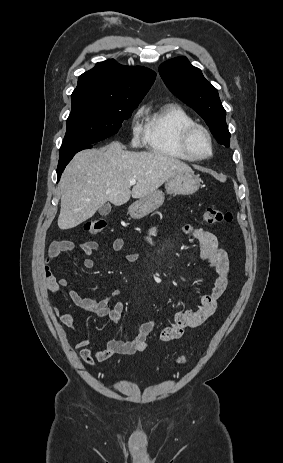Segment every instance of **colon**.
Listing matches in <instances>:
<instances>
[{"instance_id":"obj_1","label":"colon","mask_w":283,"mask_h":463,"mask_svg":"<svg viewBox=\"0 0 283 463\" xmlns=\"http://www.w3.org/2000/svg\"><path fill=\"white\" fill-rule=\"evenodd\" d=\"M203 219L208 224H220L230 222L231 214L217 208H206L203 213ZM105 227L106 221L102 218H98L87 221L84 225V230L90 234H99ZM187 360V357H181L179 363H185Z\"/></svg>"}]
</instances>
